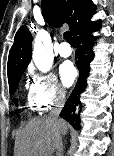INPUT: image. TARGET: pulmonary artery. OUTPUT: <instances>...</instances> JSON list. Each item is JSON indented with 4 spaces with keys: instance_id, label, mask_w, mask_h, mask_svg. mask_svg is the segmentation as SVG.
<instances>
[{
    "instance_id": "1",
    "label": "pulmonary artery",
    "mask_w": 114,
    "mask_h": 156,
    "mask_svg": "<svg viewBox=\"0 0 114 156\" xmlns=\"http://www.w3.org/2000/svg\"><path fill=\"white\" fill-rule=\"evenodd\" d=\"M58 53L61 57H69L72 54V48L66 42H62L58 47Z\"/></svg>"
}]
</instances>
